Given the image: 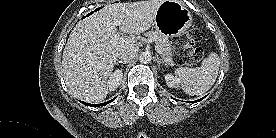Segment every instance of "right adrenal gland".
<instances>
[{"label":"right adrenal gland","mask_w":276,"mask_h":138,"mask_svg":"<svg viewBox=\"0 0 276 138\" xmlns=\"http://www.w3.org/2000/svg\"><path fill=\"white\" fill-rule=\"evenodd\" d=\"M129 63L128 61H123V60H118L117 62H115L116 65L118 64H127Z\"/></svg>","instance_id":"2a0ac1e0"}]
</instances>
